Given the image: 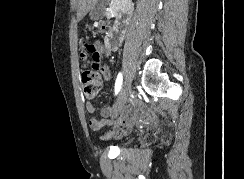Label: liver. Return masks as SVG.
Returning a JSON list of instances; mask_svg holds the SVG:
<instances>
[{"instance_id": "6515ba94", "label": "liver", "mask_w": 244, "mask_h": 179, "mask_svg": "<svg viewBox=\"0 0 244 179\" xmlns=\"http://www.w3.org/2000/svg\"><path fill=\"white\" fill-rule=\"evenodd\" d=\"M97 0H78V12H77V20L80 22L86 14H88L89 10H92L94 4H96Z\"/></svg>"}]
</instances>
